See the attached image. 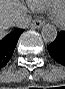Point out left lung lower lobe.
<instances>
[{
  "instance_id": "0a47b994",
  "label": "left lung lower lobe",
  "mask_w": 65,
  "mask_h": 89,
  "mask_svg": "<svg viewBox=\"0 0 65 89\" xmlns=\"http://www.w3.org/2000/svg\"><path fill=\"white\" fill-rule=\"evenodd\" d=\"M50 56L65 66V30L59 32L56 39L47 46Z\"/></svg>"
}]
</instances>
